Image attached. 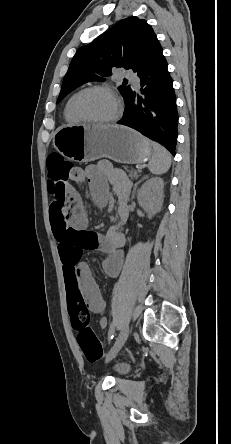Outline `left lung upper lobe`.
<instances>
[{"instance_id": "obj_1", "label": "left lung upper lobe", "mask_w": 231, "mask_h": 444, "mask_svg": "<svg viewBox=\"0 0 231 444\" xmlns=\"http://www.w3.org/2000/svg\"><path fill=\"white\" fill-rule=\"evenodd\" d=\"M162 48L152 27L146 20L130 17L121 20L90 44L79 48L66 73L60 102L76 87L88 81H104L113 67L138 72ZM124 99L130 86H119Z\"/></svg>"}]
</instances>
